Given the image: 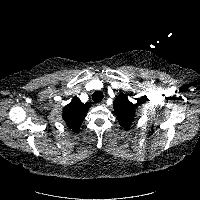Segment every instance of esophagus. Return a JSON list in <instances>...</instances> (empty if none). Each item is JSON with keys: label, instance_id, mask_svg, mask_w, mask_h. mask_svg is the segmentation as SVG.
I'll list each match as a JSON object with an SVG mask.
<instances>
[{"label": "esophagus", "instance_id": "34e87169", "mask_svg": "<svg viewBox=\"0 0 200 200\" xmlns=\"http://www.w3.org/2000/svg\"><path fill=\"white\" fill-rule=\"evenodd\" d=\"M99 106H104L105 105V101H102L100 103H98Z\"/></svg>", "mask_w": 200, "mask_h": 200}]
</instances>
